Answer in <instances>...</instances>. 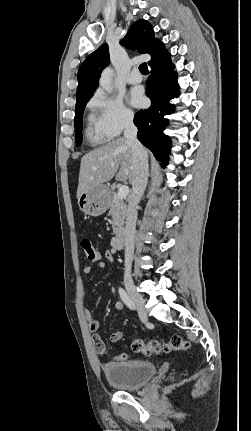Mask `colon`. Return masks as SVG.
<instances>
[{
  "label": "colon",
  "instance_id": "1",
  "mask_svg": "<svg viewBox=\"0 0 251 431\" xmlns=\"http://www.w3.org/2000/svg\"><path fill=\"white\" fill-rule=\"evenodd\" d=\"M81 248L87 260L90 262H98L100 255L88 238H82L80 241ZM131 348L134 352L142 353L146 356L168 354L173 351H187L190 348V343L180 335H173L168 342L161 343L158 340L143 341L136 339L132 341ZM109 360L114 362H127V353H114L109 355Z\"/></svg>",
  "mask_w": 251,
  "mask_h": 431
}]
</instances>
